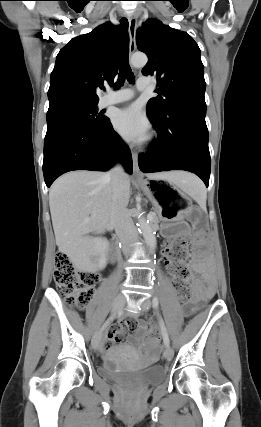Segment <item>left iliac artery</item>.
I'll use <instances>...</instances> for the list:
<instances>
[{"instance_id":"44dca946","label":"left iliac artery","mask_w":261,"mask_h":427,"mask_svg":"<svg viewBox=\"0 0 261 427\" xmlns=\"http://www.w3.org/2000/svg\"><path fill=\"white\" fill-rule=\"evenodd\" d=\"M152 305H153V307H154L155 309H158L159 300H158V298H157V297H153V299H152ZM157 315H158V317H159V323H160V326H161V331H162V335H163V341H164V344H165L166 346H169V344H170V340H169V337H168V333H167L166 326H165V324H164L163 319L159 316V314H157Z\"/></svg>"}]
</instances>
